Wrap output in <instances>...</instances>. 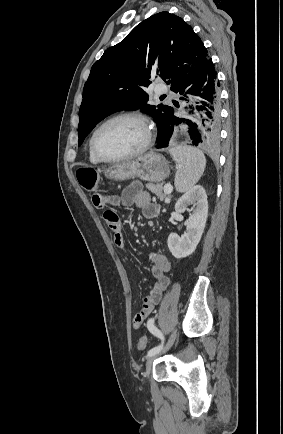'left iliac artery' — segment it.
Returning a JSON list of instances; mask_svg holds the SVG:
<instances>
[{
    "mask_svg": "<svg viewBox=\"0 0 283 434\" xmlns=\"http://www.w3.org/2000/svg\"><path fill=\"white\" fill-rule=\"evenodd\" d=\"M147 327L155 336L159 337L162 340L160 345L155 346L148 351L147 356H152V355L160 352V350L162 349L163 343H164V337H163V334L161 333V331L154 326V318L150 319L148 321Z\"/></svg>",
    "mask_w": 283,
    "mask_h": 434,
    "instance_id": "44dca946",
    "label": "left iliac artery"
}]
</instances>
